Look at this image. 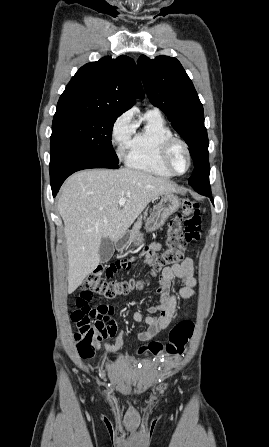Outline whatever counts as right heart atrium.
I'll use <instances>...</instances> for the list:
<instances>
[{"mask_svg": "<svg viewBox=\"0 0 269 447\" xmlns=\"http://www.w3.org/2000/svg\"><path fill=\"white\" fill-rule=\"evenodd\" d=\"M134 130L135 123L131 111L123 112L114 120L110 131V142L119 158H122L129 148Z\"/></svg>", "mask_w": 269, "mask_h": 447, "instance_id": "1", "label": "right heart atrium"}]
</instances>
